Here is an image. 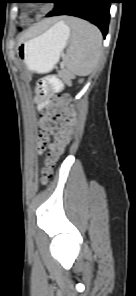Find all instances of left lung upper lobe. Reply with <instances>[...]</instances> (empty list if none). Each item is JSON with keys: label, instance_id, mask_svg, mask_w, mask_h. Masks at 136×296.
<instances>
[{"label": "left lung upper lobe", "instance_id": "obj_1", "mask_svg": "<svg viewBox=\"0 0 136 296\" xmlns=\"http://www.w3.org/2000/svg\"><path fill=\"white\" fill-rule=\"evenodd\" d=\"M51 1H53V0H47L46 2H51Z\"/></svg>", "mask_w": 136, "mask_h": 296}]
</instances>
